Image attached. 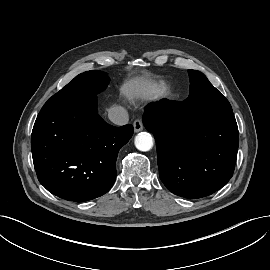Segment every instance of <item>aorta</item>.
<instances>
[{
  "instance_id": "762f6f07",
  "label": "aorta",
  "mask_w": 270,
  "mask_h": 270,
  "mask_svg": "<svg viewBox=\"0 0 270 270\" xmlns=\"http://www.w3.org/2000/svg\"><path fill=\"white\" fill-rule=\"evenodd\" d=\"M135 146L138 150L146 152L153 147V138L147 132H141L135 137Z\"/></svg>"
}]
</instances>
